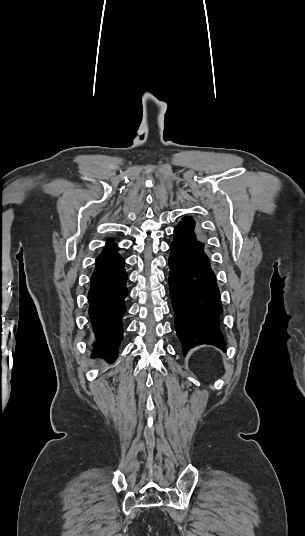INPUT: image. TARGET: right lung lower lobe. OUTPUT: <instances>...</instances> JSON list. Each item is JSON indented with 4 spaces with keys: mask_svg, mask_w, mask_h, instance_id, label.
Instances as JSON below:
<instances>
[{
    "mask_svg": "<svg viewBox=\"0 0 305 536\" xmlns=\"http://www.w3.org/2000/svg\"><path fill=\"white\" fill-rule=\"evenodd\" d=\"M127 273L117 245L105 248L96 258L88 294L89 314L97 341L94 355L112 362L123 338L122 316L126 311Z\"/></svg>",
    "mask_w": 305,
    "mask_h": 536,
    "instance_id": "right-lung-lower-lobe-1",
    "label": "right lung lower lobe"
}]
</instances>
